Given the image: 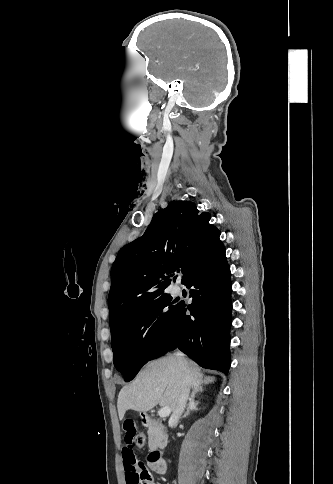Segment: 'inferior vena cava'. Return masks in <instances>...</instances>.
<instances>
[{"label": "inferior vena cava", "instance_id": "obj_1", "mask_svg": "<svg viewBox=\"0 0 333 484\" xmlns=\"http://www.w3.org/2000/svg\"><path fill=\"white\" fill-rule=\"evenodd\" d=\"M176 358L182 369V392L180 394L178 406L173 410V413L169 419L170 425H176L179 418L185 408L186 401L189 395V385L191 381V375L188 367V360L185 358L184 354L180 351L176 353Z\"/></svg>", "mask_w": 333, "mask_h": 484}]
</instances>
